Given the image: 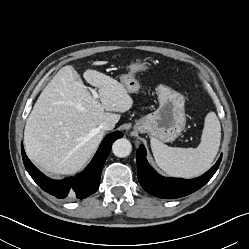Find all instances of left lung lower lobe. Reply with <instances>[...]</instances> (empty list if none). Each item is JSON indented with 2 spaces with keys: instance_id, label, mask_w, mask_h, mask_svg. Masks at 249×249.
Here are the masks:
<instances>
[{
  "instance_id": "left-lung-lower-lobe-1",
  "label": "left lung lower lobe",
  "mask_w": 249,
  "mask_h": 249,
  "mask_svg": "<svg viewBox=\"0 0 249 249\" xmlns=\"http://www.w3.org/2000/svg\"><path fill=\"white\" fill-rule=\"evenodd\" d=\"M222 155L216 164L204 175L190 180L179 178H165L156 173L146 159V150L140 145L137 151L138 180L142 188L149 194L173 199L189 195L204 186L217 171Z\"/></svg>"
}]
</instances>
